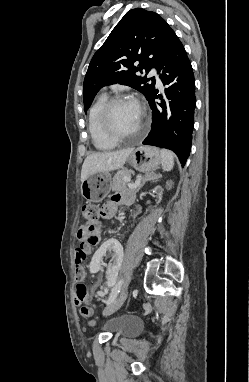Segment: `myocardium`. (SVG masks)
<instances>
[{
    "label": "myocardium",
    "instance_id": "1",
    "mask_svg": "<svg viewBox=\"0 0 249 382\" xmlns=\"http://www.w3.org/2000/svg\"><path fill=\"white\" fill-rule=\"evenodd\" d=\"M126 101H130V100L124 96L112 97L106 101V103L102 107V110L100 113V124H101V128H102L104 134L110 140L115 141V142H120L123 140L131 139V138H134L136 136H139L141 134V132L143 131V129L145 128V125H146L145 113L143 111H141V120H140V123H139V126H138L136 132H134L132 134L122 135L113 129V127L111 125V121H110L111 110L116 104L126 102Z\"/></svg>",
    "mask_w": 249,
    "mask_h": 382
}]
</instances>
